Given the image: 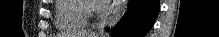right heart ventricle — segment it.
Listing matches in <instances>:
<instances>
[{"label":"right heart ventricle","mask_w":219,"mask_h":37,"mask_svg":"<svg viewBox=\"0 0 219 37\" xmlns=\"http://www.w3.org/2000/svg\"><path fill=\"white\" fill-rule=\"evenodd\" d=\"M85 0H58L56 5V23L61 30L81 29L86 26Z\"/></svg>","instance_id":"1"}]
</instances>
